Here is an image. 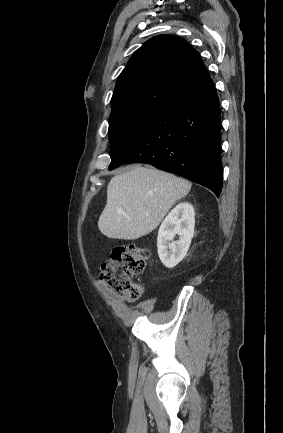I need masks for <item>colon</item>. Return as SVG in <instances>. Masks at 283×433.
Listing matches in <instances>:
<instances>
[{
  "label": "colon",
  "mask_w": 283,
  "mask_h": 433,
  "mask_svg": "<svg viewBox=\"0 0 283 433\" xmlns=\"http://www.w3.org/2000/svg\"><path fill=\"white\" fill-rule=\"evenodd\" d=\"M149 253L135 245H123L112 250L110 258L101 265L100 279L117 295L137 299L143 293L133 278L143 272Z\"/></svg>",
  "instance_id": "1"
}]
</instances>
